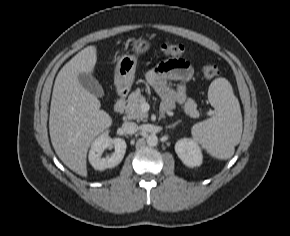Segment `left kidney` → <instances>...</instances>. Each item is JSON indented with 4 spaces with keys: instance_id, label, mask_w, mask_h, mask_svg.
<instances>
[{
    "instance_id": "5707ae66",
    "label": "left kidney",
    "mask_w": 290,
    "mask_h": 236,
    "mask_svg": "<svg viewBox=\"0 0 290 236\" xmlns=\"http://www.w3.org/2000/svg\"><path fill=\"white\" fill-rule=\"evenodd\" d=\"M175 151L181 161L188 167L202 164V151L196 141L188 138L180 139L175 144Z\"/></svg>"
}]
</instances>
